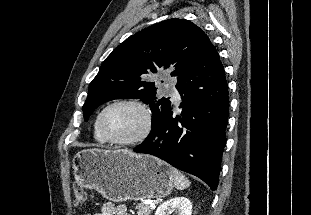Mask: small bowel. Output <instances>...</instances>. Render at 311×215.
<instances>
[{"label":"small bowel","mask_w":311,"mask_h":215,"mask_svg":"<svg viewBox=\"0 0 311 215\" xmlns=\"http://www.w3.org/2000/svg\"><path fill=\"white\" fill-rule=\"evenodd\" d=\"M84 215H131L125 205H115L106 202L102 205L100 212L86 213Z\"/></svg>","instance_id":"1"}]
</instances>
